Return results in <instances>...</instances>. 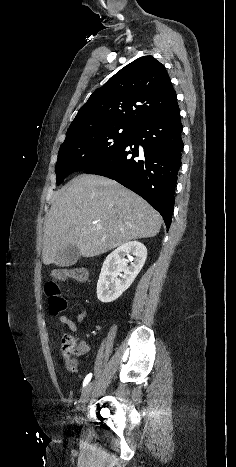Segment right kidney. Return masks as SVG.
Instances as JSON below:
<instances>
[{
	"instance_id": "ca27d5eb",
	"label": "right kidney",
	"mask_w": 236,
	"mask_h": 467,
	"mask_svg": "<svg viewBox=\"0 0 236 467\" xmlns=\"http://www.w3.org/2000/svg\"><path fill=\"white\" fill-rule=\"evenodd\" d=\"M130 255L134 257L128 265L125 257ZM146 258V247L137 241L127 242L110 253L101 268L97 283V298L103 303H109L120 297L132 284Z\"/></svg>"
}]
</instances>
